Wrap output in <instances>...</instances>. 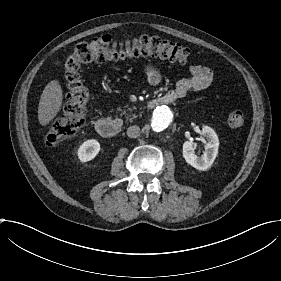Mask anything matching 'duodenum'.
I'll use <instances>...</instances> for the list:
<instances>
[{
	"mask_svg": "<svg viewBox=\"0 0 281 281\" xmlns=\"http://www.w3.org/2000/svg\"><path fill=\"white\" fill-rule=\"evenodd\" d=\"M170 100L166 96H159L152 98L148 101L147 106L154 108L156 106L169 104ZM98 133L104 137L116 136L120 130L121 125L118 121L111 118H101L96 123Z\"/></svg>",
	"mask_w": 281,
	"mask_h": 281,
	"instance_id": "410a0bca",
	"label": "duodenum"
}]
</instances>
